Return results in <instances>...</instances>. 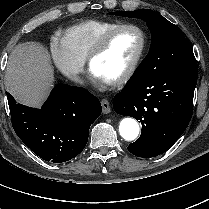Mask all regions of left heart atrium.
<instances>
[{
    "mask_svg": "<svg viewBox=\"0 0 209 209\" xmlns=\"http://www.w3.org/2000/svg\"><path fill=\"white\" fill-rule=\"evenodd\" d=\"M90 74L93 80L98 81V82L104 81L102 77L93 69H91Z\"/></svg>",
    "mask_w": 209,
    "mask_h": 209,
    "instance_id": "39dd6f15",
    "label": "left heart atrium"
}]
</instances>
